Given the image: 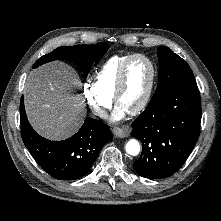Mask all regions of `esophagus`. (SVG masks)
<instances>
[{
	"label": "esophagus",
	"mask_w": 221,
	"mask_h": 221,
	"mask_svg": "<svg viewBox=\"0 0 221 221\" xmlns=\"http://www.w3.org/2000/svg\"><path fill=\"white\" fill-rule=\"evenodd\" d=\"M112 132H113L114 136L118 137V138H125L128 136V131L121 129V128H117V127L113 128Z\"/></svg>",
	"instance_id": "1"
}]
</instances>
